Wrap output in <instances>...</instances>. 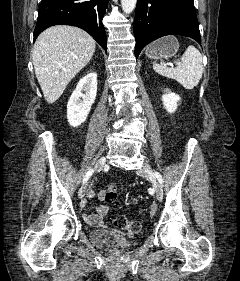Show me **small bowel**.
<instances>
[{
	"instance_id": "c3829d8e",
	"label": "small bowel",
	"mask_w": 240,
	"mask_h": 281,
	"mask_svg": "<svg viewBox=\"0 0 240 281\" xmlns=\"http://www.w3.org/2000/svg\"><path fill=\"white\" fill-rule=\"evenodd\" d=\"M103 198V192L97 193L94 190H89L87 193V198L81 202V208L84 209L88 205L89 200L93 198ZM109 212V207L105 204L99 205L93 208L90 212H85L83 214L84 221L92 226L102 228L105 226L104 217Z\"/></svg>"
}]
</instances>
